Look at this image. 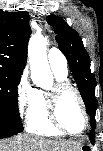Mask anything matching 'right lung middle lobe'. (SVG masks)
<instances>
[{
	"mask_svg": "<svg viewBox=\"0 0 103 151\" xmlns=\"http://www.w3.org/2000/svg\"><path fill=\"white\" fill-rule=\"evenodd\" d=\"M21 73L0 67V132H22L17 105V85Z\"/></svg>",
	"mask_w": 103,
	"mask_h": 151,
	"instance_id": "right-lung-middle-lobe-1",
	"label": "right lung middle lobe"
}]
</instances>
